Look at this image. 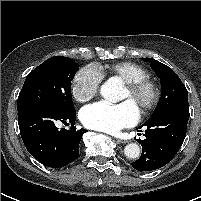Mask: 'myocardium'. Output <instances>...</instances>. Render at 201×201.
Instances as JSON below:
<instances>
[{
    "label": "myocardium",
    "instance_id": "myocardium-1",
    "mask_svg": "<svg viewBox=\"0 0 201 201\" xmlns=\"http://www.w3.org/2000/svg\"><path fill=\"white\" fill-rule=\"evenodd\" d=\"M125 87L130 92L131 96H137L142 92L148 94L147 99L138 109L139 115L150 113L157 105L160 97V89L155 81L146 77L134 81L125 82Z\"/></svg>",
    "mask_w": 201,
    "mask_h": 201
}]
</instances>
